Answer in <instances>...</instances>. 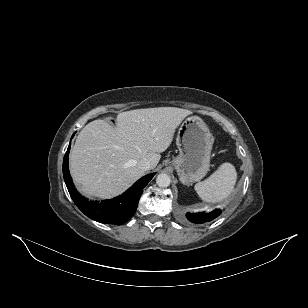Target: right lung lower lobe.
Returning a JSON list of instances; mask_svg holds the SVG:
<instances>
[{"instance_id": "1", "label": "right lung lower lobe", "mask_w": 308, "mask_h": 308, "mask_svg": "<svg viewBox=\"0 0 308 308\" xmlns=\"http://www.w3.org/2000/svg\"><path fill=\"white\" fill-rule=\"evenodd\" d=\"M69 151L70 145L63 160V176L70 196L77 207L86 216L100 223L121 225L128 221L136 212L142 189L149 183L154 173L138 180L121 196L111 200H104L100 203L97 201L89 202L78 194L72 183L68 168Z\"/></svg>"}]
</instances>
